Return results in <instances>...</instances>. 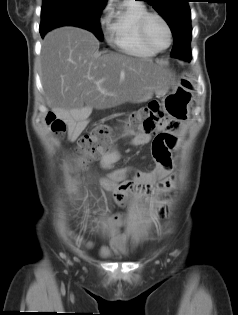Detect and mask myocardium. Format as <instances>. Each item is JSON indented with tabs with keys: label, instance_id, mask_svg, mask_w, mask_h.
Returning <instances> with one entry per match:
<instances>
[{
	"label": "myocardium",
	"instance_id": "obj_1",
	"mask_svg": "<svg viewBox=\"0 0 238 315\" xmlns=\"http://www.w3.org/2000/svg\"><path fill=\"white\" fill-rule=\"evenodd\" d=\"M152 18H157L159 19L164 27L166 28L167 34H168V43L164 48H158L155 45H153L151 43V41L149 40L148 36H147V25L149 23V21ZM139 33H140V37L142 39V41L152 50L156 51V52H162L167 50L171 44H172V40H173V35H172V30L171 27L168 23V21L159 13H155V12H148L146 15H144L142 17V19L140 20L139 23Z\"/></svg>",
	"mask_w": 238,
	"mask_h": 315
}]
</instances>
